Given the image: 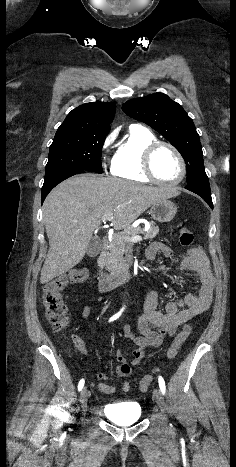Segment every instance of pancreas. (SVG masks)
<instances>
[{
    "mask_svg": "<svg viewBox=\"0 0 236 467\" xmlns=\"http://www.w3.org/2000/svg\"><path fill=\"white\" fill-rule=\"evenodd\" d=\"M149 224L150 228L146 232L141 227H127L124 231L113 235L108 252H104L102 264L111 275H118L128 269V264L123 255L131 247V243L125 240L124 237L144 234L145 239L151 240L159 233V228L155 222L151 221Z\"/></svg>",
    "mask_w": 236,
    "mask_h": 467,
    "instance_id": "obj_1",
    "label": "pancreas"
}]
</instances>
